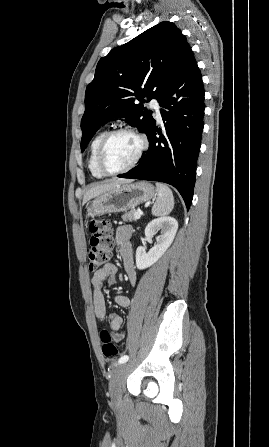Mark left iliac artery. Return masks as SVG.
<instances>
[{
    "instance_id": "obj_1",
    "label": "left iliac artery",
    "mask_w": 269,
    "mask_h": 447,
    "mask_svg": "<svg viewBox=\"0 0 269 447\" xmlns=\"http://www.w3.org/2000/svg\"><path fill=\"white\" fill-rule=\"evenodd\" d=\"M128 359H129V357L127 355H124L118 360V363L119 364L125 363L128 361Z\"/></svg>"
}]
</instances>
